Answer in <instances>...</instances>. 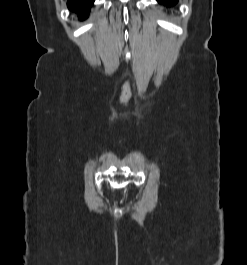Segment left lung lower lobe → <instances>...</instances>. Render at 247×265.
I'll list each match as a JSON object with an SVG mask.
<instances>
[{"label": "left lung lower lobe", "mask_w": 247, "mask_h": 265, "mask_svg": "<svg viewBox=\"0 0 247 265\" xmlns=\"http://www.w3.org/2000/svg\"><path fill=\"white\" fill-rule=\"evenodd\" d=\"M157 1L166 6H173L174 4L177 3L178 0H157Z\"/></svg>", "instance_id": "1"}]
</instances>
